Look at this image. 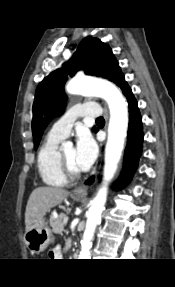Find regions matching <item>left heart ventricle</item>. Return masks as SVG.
Masks as SVG:
<instances>
[{"mask_svg":"<svg viewBox=\"0 0 175 287\" xmlns=\"http://www.w3.org/2000/svg\"><path fill=\"white\" fill-rule=\"evenodd\" d=\"M63 153L68 161V163L71 165L72 168L80 170L77 162H76V156H75V148L74 147H67L63 149Z\"/></svg>","mask_w":175,"mask_h":287,"instance_id":"left-heart-ventricle-1","label":"left heart ventricle"}]
</instances>
